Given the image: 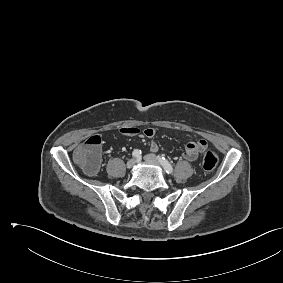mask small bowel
Masks as SVG:
<instances>
[{"label":"small bowel","instance_id":"1","mask_svg":"<svg viewBox=\"0 0 283 283\" xmlns=\"http://www.w3.org/2000/svg\"><path fill=\"white\" fill-rule=\"evenodd\" d=\"M120 132L128 136H135L141 133V131L136 127H124L120 129ZM142 133L148 138H153L156 134V130L154 128H147L143 130ZM207 147L208 142L205 139L189 142L185 146L183 157L189 161H194L198 158L199 154L207 149ZM150 150L152 152H156L158 150V145L156 142H151Z\"/></svg>","mask_w":283,"mask_h":283}]
</instances>
